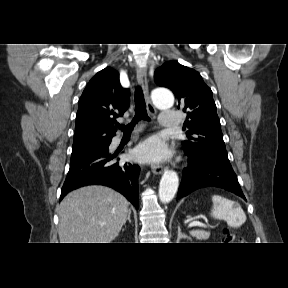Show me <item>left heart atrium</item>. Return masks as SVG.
Masks as SVG:
<instances>
[{
  "mask_svg": "<svg viewBox=\"0 0 288 288\" xmlns=\"http://www.w3.org/2000/svg\"><path fill=\"white\" fill-rule=\"evenodd\" d=\"M168 154L165 142L157 136L149 137L135 150V156L143 161H161L166 159Z\"/></svg>",
  "mask_w": 288,
  "mask_h": 288,
  "instance_id": "left-heart-atrium-1",
  "label": "left heart atrium"
}]
</instances>
